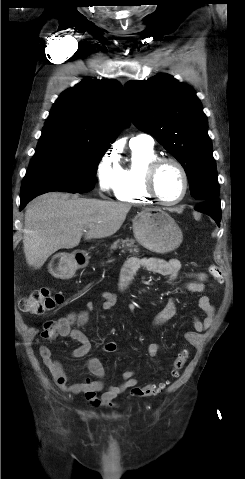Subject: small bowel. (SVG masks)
Instances as JSON below:
<instances>
[{"label": "small bowel", "mask_w": 245, "mask_h": 479, "mask_svg": "<svg viewBox=\"0 0 245 479\" xmlns=\"http://www.w3.org/2000/svg\"><path fill=\"white\" fill-rule=\"evenodd\" d=\"M141 269L159 274L165 277L170 283H174L181 269V263L177 259L165 260L156 257H129L125 261L120 273L119 290L121 292H125L131 287L137 272ZM195 276L197 280L186 282L184 289L188 292L202 293L204 291L206 275L199 273ZM102 298V308L104 310H111L119 303V296L116 293L103 292ZM198 303L203 312L204 318L202 320L195 318L194 328L195 332L200 333L206 331L213 325L216 317V310L211 303L210 298L206 295H201ZM94 309L95 305L93 303H88L83 311L71 313L55 320L60 327L59 335L61 337H69L78 343V346L72 351L73 358H82L86 356L91 349L90 340L81 329V326L87 322L89 313ZM175 313V301L174 299H170L155 317L154 327L162 326L170 320ZM193 335L194 332H188L186 336L190 339ZM103 348L108 353H114L117 351L118 345L114 341H109L103 345ZM161 350L162 345L159 343L151 342L148 345V355L156 364L157 362L154 358ZM39 353L44 364L50 370L56 384L63 392L82 394L94 407L112 405L115 398L137 385L134 372L125 371L122 374V382L118 386H113L104 390L105 383L103 378L105 370L102 363L97 358H90L86 363L87 369L97 378L96 380L86 379L81 383L69 384L64 367L58 360L53 358L50 347L42 345L39 349Z\"/></svg>", "instance_id": "1"}]
</instances>
